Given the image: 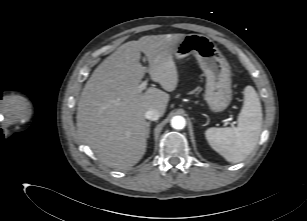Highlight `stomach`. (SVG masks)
Returning a JSON list of instances; mask_svg holds the SVG:
<instances>
[{
    "label": "stomach",
    "mask_w": 307,
    "mask_h": 221,
    "mask_svg": "<svg viewBox=\"0 0 307 221\" xmlns=\"http://www.w3.org/2000/svg\"><path fill=\"white\" fill-rule=\"evenodd\" d=\"M193 54L206 76L205 100L212 112H222L232 100L231 69L226 58L207 36L184 35L175 45L177 59Z\"/></svg>",
    "instance_id": "obj_1"
}]
</instances>
